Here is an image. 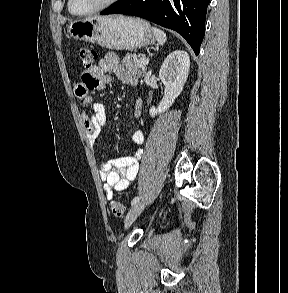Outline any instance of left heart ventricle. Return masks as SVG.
Here are the masks:
<instances>
[{
    "label": "left heart ventricle",
    "instance_id": "b2bd125f",
    "mask_svg": "<svg viewBox=\"0 0 288 293\" xmlns=\"http://www.w3.org/2000/svg\"><path fill=\"white\" fill-rule=\"evenodd\" d=\"M105 0H72V7L75 11L83 12L102 4Z\"/></svg>",
    "mask_w": 288,
    "mask_h": 293
}]
</instances>
